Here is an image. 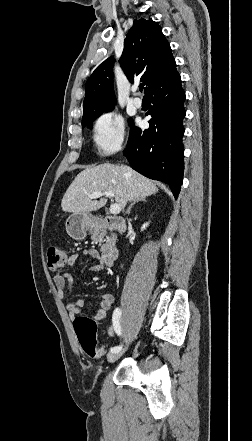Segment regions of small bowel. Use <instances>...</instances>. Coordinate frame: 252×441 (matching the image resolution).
I'll use <instances>...</instances> for the list:
<instances>
[{
    "label": "small bowel",
    "instance_id": "small-bowel-1",
    "mask_svg": "<svg viewBox=\"0 0 252 441\" xmlns=\"http://www.w3.org/2000/svg\"><path fill=\"white\" fill-rule=\"evenodd\" d=\"M81 254L88 255L98 261L97 264L91 266L90 269L92 271L99 272L104 269V265L100 261L99 252L96 249H85L81 252ZM79 255L80 254L78 253L71 255L67 259L65 266L59 269L58 273L54 276L55 288L58 293V296L61 299L67 298L72 293L74 287L73 277L70 274L63 273L62 270L66 266L74 265V263L79 258ZM113 303H114V296L112 294L109 293L100 294L98 296V308L93 314L90 315V318L94 320L103 319L106 316L107 311L111 309ZM84 304H85L84 300L77 299L68 305V310L72 318H75L77 315L81 314ZM113 329H114L113 327L109 328L108 336L113 335L114 332Z\"/></svg>",
    "mask_w": 252,
    "mask_h": 441
}]
</instances>
